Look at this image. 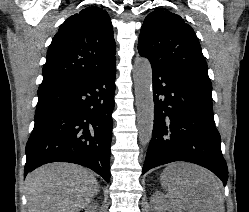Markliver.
Returning <instances> with one entry per match:
<instances>
[{
	"mask_svg": "<svg viewBox=\"0 0 249 212\" xmlns=\"http://www.w3.org/2000/svg\"><path fill=\"white\" fill-rule=\"evenodd\" d=\"M168 186L172 210L225 212L221 188L214 174L195 164H170ZM28 212H79L87 208L98 192L92 172L76 164H46L28 174Z\"/></svg>",
	"mask_w": 249,
	"mask_h": 212,
	"instance_id": "liver-1",
	"label": "liver"
}]
</instances>
